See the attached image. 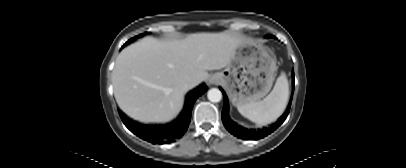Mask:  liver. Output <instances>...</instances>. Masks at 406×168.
I'll list each match as a JSON object with an SVG mask.
<instances>
[{"mask_svg": "<svg viewBox=\"0 0 406 168\" xmlns=\"http://www.w3.org/2000/svg\"><path fill=\"white\" fill-rule=\"evenodd\" d=\"M243 37L230 33H193L181 40L145 37L118 55L112 84L119 107L131 118L168 122L180 112L184 94L226 67ZM193 79L191 87H186Z\"/></svg>", "mask_w": 406, "mask_h": 168, "instance_id": "6515ba94", "label": "liver"}]
</instances>
